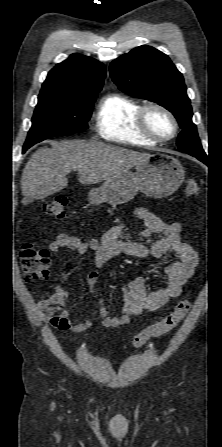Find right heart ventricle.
Instances as JSON below:
<instances>
[{"instance_id":"1","label":"right heart ventricle","mask_w":222,"mask_h":447,"mask_svg":"<svg viewBox=\"0 0 222 447\" xmlns=\"http://www.w3.org/2000/svg\"><path fill=\"white\" fill-rule=\"evenodd\" d=\"M141 104L120 94L104 97L95 115L97 134L108 141L120 144L154 145L155 140L144 135L137 124Z\"/></svg>"}]
</instances>
